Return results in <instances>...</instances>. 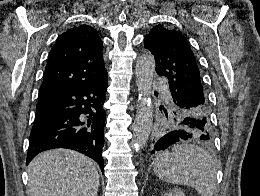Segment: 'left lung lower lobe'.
Here are the masks:
<instances>
[{
	"mask_svg": "<svg viewBox=\"0 0 260 196\" xmlns=\"http://www.w3.org/2000/svg\"><path fill=\"white\" fill-rule=\"evenodd\" d=\"M185 129H179L164 135L154 146V152L165 150L170 145L179 142L181 140H187L190 137L189 129H195L201 127L199 123L186 121L184 122Z\"/></svg>",
	"mask_w": 260,
	"mask_h": 196,
	"instance_id": "1",
	"label": "left lung lower lobe"
}]
</instances>
